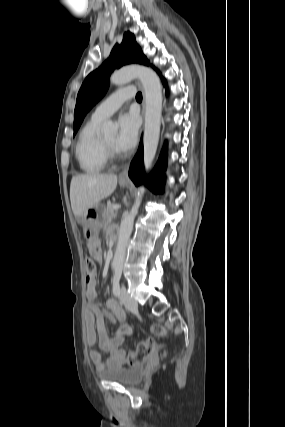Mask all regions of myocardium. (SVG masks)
Here are the masks:
<instances>
[{
	"label": "myocardium",
	"instance_id": "f54148a6",
	"mask_svg": "<svg viewBox=\"0 0 285 427\" xmlns=\"http://www.w3.org/2000/svg\"><path fill=\"white\" fill-rule=\"evenodd\" d=\"M102 147H103V152L107 161L116 160L122 157L116 148H114L109 143H107L105 138H102Z\"/></svg>",
	"mask_w": 285,
	"mask_h": 427
}]
</instances>
